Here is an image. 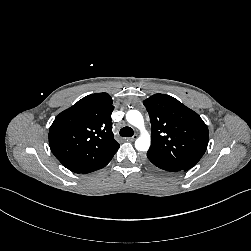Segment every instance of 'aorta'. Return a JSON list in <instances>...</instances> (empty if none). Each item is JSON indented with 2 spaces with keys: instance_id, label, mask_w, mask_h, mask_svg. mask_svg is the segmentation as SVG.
Here are the masks:
<instances>
[{
  "instance_id": "aorta-1",
  "label": "aorta",
  "mask_w": 251,
  "mask_h": 251,
  "mask_svg": "<svg viewBox=\"0 0 251 251\" xmlns=\"http://www.w3.org/2000/svg\"><path fill=\"white\" fill-rule=\"evenodd\" d=\"M126 120L142 132L135 141V148L138 151H147L150 147L151 139L149 133L145 130L142 114L137 110H130L126 114Z\"/></svg>"
}]
</instances>
